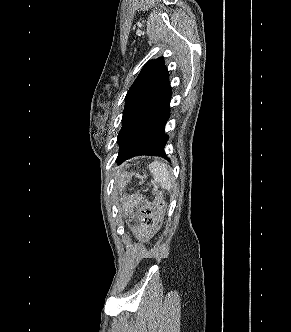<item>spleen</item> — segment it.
Instances as JSON below:
<instances>
[{"label": "spleen", "mask_w": 291, "mask_h": 332, "mask_svg": "<svg viewBox=\"0 0 291 332\" xmlns=\"http://www.w3.org/2000/svg\"><path fill=\"white\" fill-rule=\"evenodd\" d=\"M149 170L153 175L154 180L164 189L172 188V178L168 172V166L155 160L149 165Z\"/></svg>", "instance_id": "3e777b00"}]
</instances>
